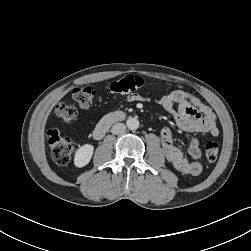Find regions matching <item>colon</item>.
Returning a JSON list of instances; mask_svg holds the SVG:
<instances>
[{
	"label": "colon",
	"instance_id": "1",
	"mask_svg": "<svg viewBox=\"0 0 251 251\" xmlns=\"http://www.w3.org/2000/svg\"><path fill=\"white\" fill-rule=\"evenodd\" d=\"M147 80L134 75H128L121 79L112 81L106 91L110 94L134 95L138 90L147 85ZM96 89L91 86L77 87L72 91L73 100L82 108L92 105L96 98ZM56 114L65 122L75 119L77 110L73 104L61 102L56 107ZM48 144L52 158L58 165H66L74 149L73 140L61 134L56 128H51L47 132ZM219 155V144L216 141H208L205 145V157L208 161L214 162Z\"/></svg>",
	"mask_w": 251,
	"mask_h": 251
}]
</instances>
